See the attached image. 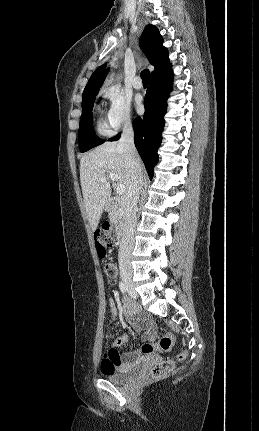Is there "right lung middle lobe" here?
Segmentation results:
<instances>
[{
	"label": "right lung middle lobe",
	"mask_w": 259,
	"mask_h": 431,
	"mask_svg": "<svg viewBox=\"0 0 259 431\" xmlns=\"http://www.w3.org/2000/svg\"><path fill=\"white\" fill-rule=\"evenodd\" d=\"M97 93L91 92L83 95L82 98V115L78 134L81 152H86L104 142V140L96 136L92 124V109Z\"/></svg>",
	"instance_id": "1"
}]
</instances>
